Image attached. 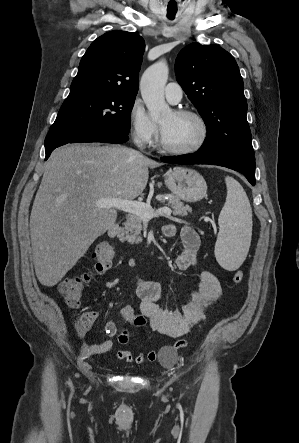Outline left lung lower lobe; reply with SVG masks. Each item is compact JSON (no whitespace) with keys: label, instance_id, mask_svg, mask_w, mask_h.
I'll list each match as a JSON object with an SVG mask.
<instances>
[{"label":"left lung lower lobe","instance_id":"0a47b994","mask_svg":"<svg viewBox=\"0 0 299 443\" xmlns=\"http://www.w3.org/2000/svg\"><path fill=\"white\" fill-rule=\"evenodd\" d=\"M161 160L173 164H211L227 167L229 169L242 173L248 181L255 185V157L239 156V157H214L201 152L192 154L162 157Z\"/></svg>","mask_w":299,"mask_h":443}]
</instances>
